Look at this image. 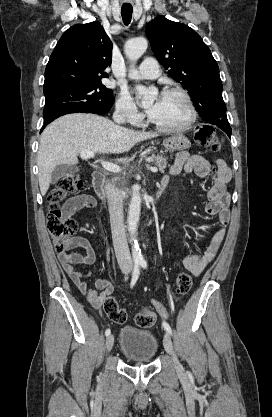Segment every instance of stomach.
Returning a JSON list of instances; mask_svg holds the SVG:
<instances>
[{
  "label": "stomach",
  "instance_id": "0dacf381",
  "mask_svg": "<svg viewBox=\"0 0 272 417\" xmlns=\"http://www.w3.org/2000/svg\"><path fill=\"white\" fill-rule=\"evenodd\" d=\"M163 145L167 151H181L190 147V141L182 134H174L164 139Z\"/></svg>",
  "mask_w": 272,
  "mask_h": 417
}]
</instances>
